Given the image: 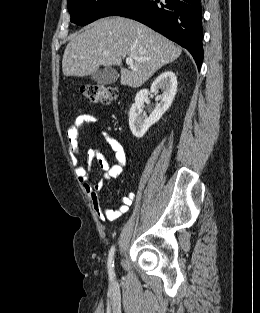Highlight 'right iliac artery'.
Masks as SVG:
<instances>
[{
    "instance_id": "right-iliac-artery-1",
    "label": "right iliac artery",
    "mask_w": 260,
    "mask_h": 313,
    "mask_svg": "<svg viewBox=\"0 0 260 313\" xmlns=\"http://www.w3.org/2000/svg\"><path fill=\"white\" fill-rule=\"evenodd\" d=\"M114 252H115V246H112L109 252L108 256V274L109 278L111 280L114 279L115 273H114Z\"/></svg>"
}]
</instances>
